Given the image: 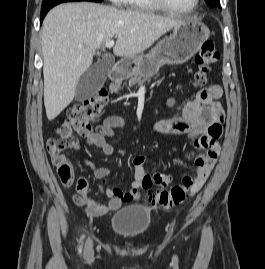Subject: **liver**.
<instances>
[{
  "label": "liver",
  "instance_id": "1",
  "mask_svg": "<svg viewBox=\"0 0 265 269\" xmlns=\"http://www.w3.org/2000/svg\"><path fill=\"white\" fill-rule=\"evenodd\" d=\"M183 20L97 3H64L49 11L42 25L44 105L55 119L73 100L79 78L94 55L117 37L113 53L131 58L151 47ZM79 46H82L80 48Z\"/></svg>",
  "mask_w": 265,
  "mask_h": 269
}]
</instances>
